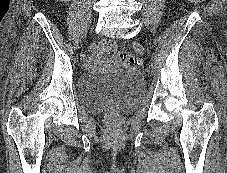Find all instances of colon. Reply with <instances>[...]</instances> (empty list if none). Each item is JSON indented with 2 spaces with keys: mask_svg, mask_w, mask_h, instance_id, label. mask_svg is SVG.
I'll return each mask as SVG.
<instances>
[{
  "mask_svg": "<svg viewBox=\"0 0 227 173\" xmlns=\"http://www.w3.org/2000/svg\"><path fill=\"white\" fill-rule=\"evenodd\" d=\"M191 2L197 3L202 0H189ZM105 49L110 54H117L118 59L121 63L129 68H135L137 66L136 59L134 56L128 52H117V45L114 42H108L105 46Z\"/></svg>",
  "mask_w": 227,
  "mask_h": 173,
  "instance_id": "5ec220e1",
  "label": "colon"
}]
</instances>
